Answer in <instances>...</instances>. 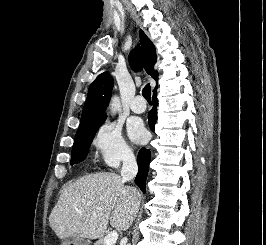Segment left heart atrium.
I'll use <instances>...</instances> for the list:
<instances>
[{
  "mask_svg": "<svg viewBox=\"0 0 266 245\" xmlns=\"http://www.w3.org/2000/svg\"><path fill=\"white\" fill-rule=\"evenodd\" d=\"M127 133L130 139L135 143H141L146 137L144 125L138 119H133L128 123Z\"/></svg>",
  "mask_w": 266,
  "mask_h": 245,
  "instance_id": "39dd6f15",
  "label": "left heart atrium"
}]
</instances>
